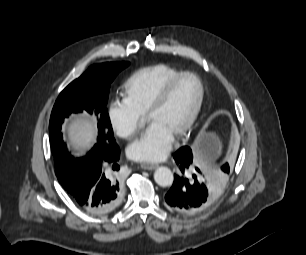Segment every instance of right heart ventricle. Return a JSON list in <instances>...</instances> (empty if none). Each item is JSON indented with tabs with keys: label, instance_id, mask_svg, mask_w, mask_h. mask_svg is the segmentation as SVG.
I'll return each instance as SVG.
<instances>
[{
	"label": "right heart ventricle",
	"instance_id": "obj_1",
	"mask_svg": "<svg viewBox=\"0 0 306 255\" xmlns=\"http://www.w3.org/2000/svg\"><path fill=\"white\" fill-rule=\"evenodd\" d=\"M181 72V70L167 64L140 68L125 82L124 100L139 114L144 115L166 83Z\"/></svg>",
	"mask_w": 306,
	"mask_h": 255
}]
</instances>
